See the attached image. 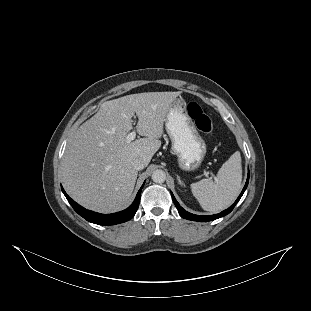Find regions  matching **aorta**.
I'll return each mask as SVG.
<instances>
[{"instance_id":"1","label":"aorta","mask_w":311,"mask_h":311,"mask_svg":"<svg viewBox=\"0 0 311 311\" xmlns=\"http://www.w3.org/2000/svg\"><path fill=\"white\" fill-rule=\"evenodd\" d=\"M152 181L157 183V184H161L164 183L166 180V173L163 170H155L152 173Z\"/></svg>"}]
</instances>
